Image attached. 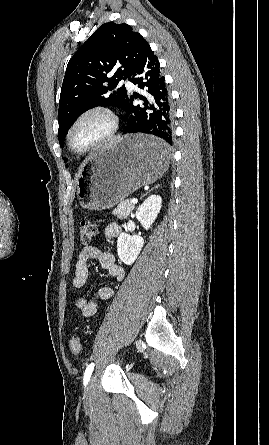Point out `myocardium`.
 I'll list each match as a JSON object with an SVG mask.
<instances>
[{
    "instance_id": "1",
    "label": "myocardium",
    "mask_w": 269,
    "mask_h": 445,
    "mask_svg": "<svg viewBox=\"0 0 269 445\" xmlns=\"http://www.w3.org/2000/svg\"><path fill=\"white\" fill-rule=\"evenodd\" d=\"M100 117L105 122L104 131L82 148H77L73 144V135L79 125L90 117ZM120 126V120L117 114L110 108L102 105L89 107L80 112L71 122L66 133V145L70 152L82 156L97 149L115 136Z\"/></svg>"
}]
</instances>
